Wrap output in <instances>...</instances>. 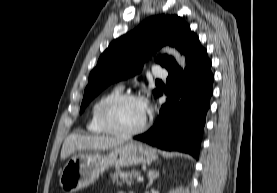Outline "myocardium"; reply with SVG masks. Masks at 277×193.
<instances>
[{
	"label": "myocardium",
	"instance_id": "myocardium-1",
	"mask_svg": "<svg viewBox=\"0 0 277 193\" xmlns=\"http://www.w3.org/2000/svg\"><path fill=\"white\" fill-rule=\"evenodd\" d=\"M127 100H139L141 97L133 93H119L104 100L98 110V120L106 133L117 137H132L145 131L149 125V118L146 114L142 124L135 129L123 131L115 127L111 118L112 109L119 103Z\"/></svg>",
	"mask_w": 277,
	"mask_h": 193
}]
</instances>
